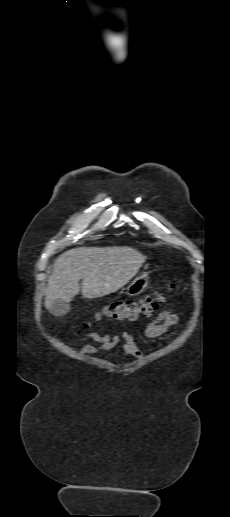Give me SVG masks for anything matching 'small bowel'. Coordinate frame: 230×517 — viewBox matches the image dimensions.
<instances>
[{
    "label": "small bowel",
    "instance_id": "c3829d8e",
    "mask_svg": "<svg viewBox=\"0 0 230 517\" xmlns=\"http://www.w3.org/2000/svg\"><path fill=\"white\" fill-rule=\"evenodd\" d=\"M178 322L179 316L171 310H166L161 312L154 320L146 325L144 333L148 338H157L167 333L170 328ZM88 339L98 343L99 346L86 344L81 348L82 354L108 351L115 348L119 343L122 342L124 354L126 356L134 358H140L142 356L136 345L134 337L128 332L115 335H99L97 333L90 332L84 335L82 338L83 341Z\"/></svg>",
    "mask_w": 230,
    "mask_h": 517
}]
</instances>
